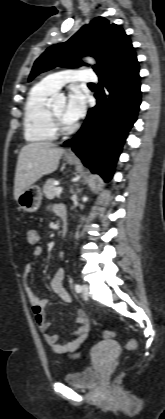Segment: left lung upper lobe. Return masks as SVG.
Wrapping results in <instances>:
<instances>
[{"instance_id":"obj_1","label":"left lung upper lobe","mask_w":165,"mask_h":419,"mask_svg":"<svg viewBox=\"0 0 165 419\" xmlns=\"http://www.w3.org/2000/svg\"><path fill=\"white\" fill-rule=\"evenodd\" d=\"M131 48L130 38L122 27L97 17L68 41L49 47L35 61L29 81L56 66H81L80 57L84 55L96 58L98 64L93 69L97 75H101L119 62Z\"/></svg>"}]
</instances>
